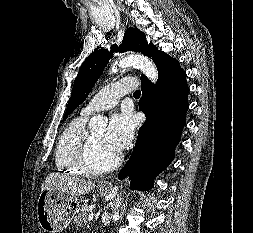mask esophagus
Segmentation results:
<instances>
[{"instance_id":"obj_1","label":"esophagus","mask_w":253,"mask_h":233,"mask_svg":"<svg viewBox=\"0 0 253 233\" xmlns=\"http://www.w3.org/2000/svg\"><path fill=\"white\" fill-rule=\"evenodd\" d=\"M103 185H104V186H111V183H109V182H104Z\"/></svg>"}]
</instances>
